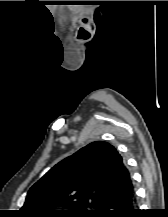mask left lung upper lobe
<instances>
[{
	"mask_svg": "<svg viewBox=\"0 0 168 217\" xmlns=\"http://www.w3.org/2000/svg\"><path fill=\"white\" fill-rule=\"evenodd\" d=\"M130 180L117 150L106 142H93L35 183L21 210L29 217H95L105 200ZM55 207L68 210H51Z\"/></svg>",
	"mask_w": 168,
	"mask_h": 217,
	"instance_id": "1",
	"label": "left lung upper lobe"
}]
</instances>
